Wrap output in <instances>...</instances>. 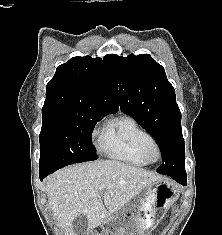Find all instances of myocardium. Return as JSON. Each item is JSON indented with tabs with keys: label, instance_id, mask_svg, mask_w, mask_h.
I'll return each instance as SVG.
<instances>
[{
	"label": "myocardium",
	"instance_id": "obj_1",
	"mask_svg": "<svg viewBox=\"0 0 222 235\" xmlns=\"http://www.w3.org/2000/svg\"><path fill=\"white\" fill-rule=\"evenodd\" d=\"M152 150H155L157 152V158L156 159H151L150 158V152ZM142 156L148 164H154V163H157L161 160L162 150L156 142H153V143H150V144H147V145L144 146V148L142 150Z\"/></svg>",
	"mask_w": 222,
	"mask_h": 235
}]
</instances>
